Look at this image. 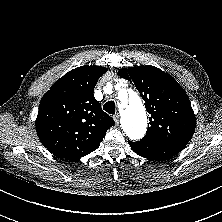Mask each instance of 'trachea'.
I'll return each mask as SVG.
<instances>
[{
    "instance_id": "1",
    "label": "trachea",
    "mask_w": 222,
    "mask_h": 222,
    "mask_svg": "<svg viewBox=\"0 0 222 222\" xmlns=\"http://www.w3.org/2000/svg\"><path fill=\"white\" fill-rule=\"evenodd\" d=\"M103 109L109 114H115V103L113 101H108L104 104Z\"/></svg>"
}]
</instances>
